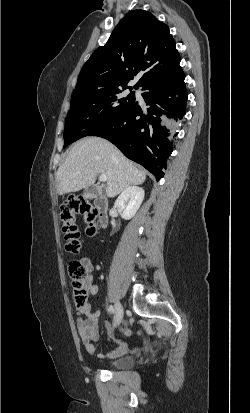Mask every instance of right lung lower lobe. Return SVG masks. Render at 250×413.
Segmentation results:
<instances>
[{"label": "right lung lower lobe", "mask_w": 250, "mask_h": 413, "mask_svg": "<svg viewBox=\"0 0 250 413\" xmlns=\"http://www.w3.org/2000/svg\"><path fill=\"white\" fill-rule=\"evenodd\" d=\"M183 71L142 85L147 105L136 101L89 136L105 138L129 159L141 164L158 180L173 148L170 144L177 121L186 113L187 90Z\"/></svg>", "instance_id": "right-lung-lower-lobe-1"}]
</instances>
